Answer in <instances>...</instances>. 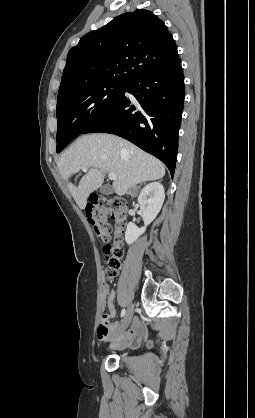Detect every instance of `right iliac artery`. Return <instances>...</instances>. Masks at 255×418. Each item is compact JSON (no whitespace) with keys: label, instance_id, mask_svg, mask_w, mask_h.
Returning a JSON list of instances; mask_svg holds the SVG:
<instances>
[{"label":"right iliac artery","instance_id":"82829eb1","mask_svg":"<svg viewBox=\"0 0 255 418\" xmlns=\"http://www.w3.org/2000/svg\"><path fill=\"white\" fill-rule=\"evenodd\" d=\"M125 314H126V310L125 309H122V311H121V317H124Z\"/></svg>","mask_w":255,"mask_h":418}]
</instances>
